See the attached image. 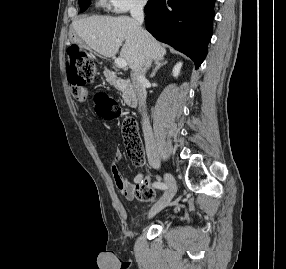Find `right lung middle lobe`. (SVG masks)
I'll return each instance as SVG.
<instances>
[{"label":"right lung middle lobe","instance_id":"1","mask_svg":"<svg viewBox=\"0 0 286 269\" xmlns=\"http://www.w3.org/2000/svg\"><path fill=\"white\" fill-rule=\"evenodd\" d=\"M157 0H149L148 4L146 6H151L153 5ZM79 2V6H80V9H81V12L85 11L90 0H78Z\"/></svg>","mask_w":286,"mask_h":269}]
</instances>
